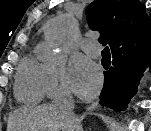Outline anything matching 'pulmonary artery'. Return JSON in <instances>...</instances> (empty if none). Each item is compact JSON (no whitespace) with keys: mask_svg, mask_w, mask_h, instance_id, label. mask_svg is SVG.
<instances>
[{"mask_svg":"<svg viewBox=\"0 0 151 131\" xmlns=\"http://www.w3.org/2000/svg\"><path fill=\"white\" fill-rule=\"evenodd\" d=\"M82 48L93 56L100 55L99 49L91 41H85L82 45Z\"/></svg>","mask_w":151,"mask_h":131,"instance_id":"pulmonary-artery-1","label":"pulmonary artery"}]
</instances>
